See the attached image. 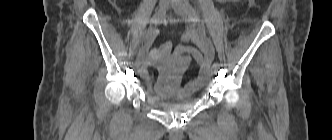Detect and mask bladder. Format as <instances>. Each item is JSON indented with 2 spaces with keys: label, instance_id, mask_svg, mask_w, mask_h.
<instances>
[{
  "label": "bladder",
  "instance_id": "31cf9c89",
  "mask_svg": "<svg viewBox=\"0 0 332 140\" xmlns=\"http://www.w3.org/2000/svg\"><path fill=\"white\" fill-rule=\"evenodd\" d=\"M200 88L187 92L180 97L176 96L175 99H167L148 92V99L153 104L166 110H183L195 101L196 94Z\"/></svg>",
  "mask_w": 332,
  "mask_h": 140
}]
</instances>
